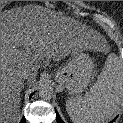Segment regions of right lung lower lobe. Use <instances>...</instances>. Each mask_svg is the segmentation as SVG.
I'll use <instances>...</instances> for the list:
<instances>
[{
  "instance_id": "98d812e1",
  "label": "right lung lower lobe",
  "mask_w": 123,
  "mask_h": 123,
  "mask_svg": "<svg viewBox=\"0 0 123 123\" xmlns=\"http://www.w3.org/2000/svg\"><path fill=\"white\" fill-rule=\"evenodd\" d=\"M20 123H26V120L24 119V117L22 118Z\"/></svg>"
}]
</instances>
